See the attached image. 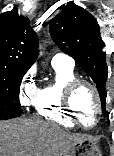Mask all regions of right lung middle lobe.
<instances>
[{
  "instance_id": "1",
  "label": "right lung middle lobe",
  "mask_w": 114,
  "mask_h": 156,
  "mask_svg": "<svg viewBox=\"0 0 114 156\" xmlns=\"http://www.w3.org/2000/svg\"><path fill=\"white\" fill-rule=\"evenodd\" d=\"M26 71L0 67V119L21 115L19 87Z\"/></svg>"
}]
</instances>
